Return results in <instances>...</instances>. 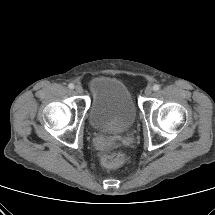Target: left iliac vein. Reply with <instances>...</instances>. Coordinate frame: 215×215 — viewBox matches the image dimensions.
<instances>
[{
    "label": "left iliac vein",
    "instance_id": "4c4485c4",
    "mask_svg": "<svg viewBox=\"0 0 215 215\" xmlns=\"http://www.w3.org/2000/svg\"><path fill=\"white\" fill-rule=\"evenodd\" d=\"M153 92V88L151 86L146 87L145 89V95L150 96Z\"/></svg>",
    "mask_w": 215,
    "mask_h": 215
}]
</instances>
